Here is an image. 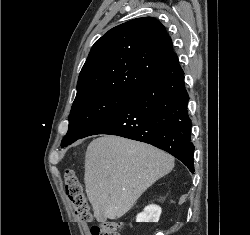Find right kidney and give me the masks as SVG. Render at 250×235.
<instances>
[{"label":"right kidney","instance_id":"right-kidney-1","mask_svg":"<svg viewBox=\"0 0 250 235\" xmlns=\"http://www.w3.org/2000/svg\"><path fill=\"white\" fill-rule=\"evenodd\" d=\"M161 215V208L151 204L145 207L144 211L136 217L137 222H158Z\"/></svg>","mask_w":250,"mask_h":235}]
</instances>
